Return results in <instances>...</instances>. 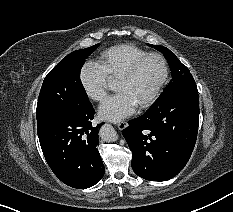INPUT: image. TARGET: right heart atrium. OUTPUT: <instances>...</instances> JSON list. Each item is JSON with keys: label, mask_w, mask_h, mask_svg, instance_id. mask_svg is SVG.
Returning <instances> with one entry per match:
<instances>
[{"label": "right heart atrium", "mask_w": 233, "mask_h": 212, "mask_svg": "<svg viewBox=\"0 0 233 212\" xmlns=\"http://www.w3.org/2000/svg\"><path fill=\"white\" fill-rule=\"evenodd\" d=\"M79 81L85 95L101 102L107 95L108 78L97 63L86 62L80 69Z\"/></svg>", "instance_id": "obj_1"}]
</instances>
